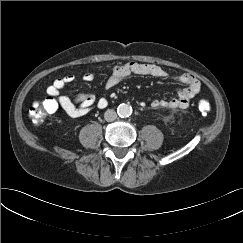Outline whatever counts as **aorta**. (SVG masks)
Returning <instances> with one entry per match:
<instances>
[{"instance_id": "1", "label": "aorta", "mask_w": 243, "mask_h": 243, "mask_svg": "<svg viewBox=\"0 0 243 243\" xmlns=\"http://www.w3.org/2000/svg\"><path fill=\"white\" fill-rule=\"evenodd\" d=\"M117 113L120 117H129L132 113V107L128 104H120L117 108Z\"/></svg>"}]
</instances>
